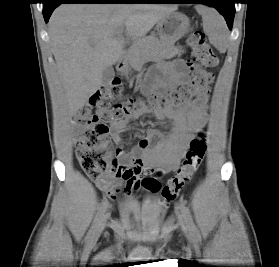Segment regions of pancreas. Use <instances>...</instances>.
<instances>
[{
  "instance_id": "pancreas-1",
  "label": "pancreas",
  "mask_w": 279,
  "mask_h": 267,
  "mask_svg": "<svg viewBox=\"0 0 279 267\" xmlns=\"http://www.w3.org/2000/svg\"><path fill=\"white\" fill-rule=\"evenodd\" d=\"M182 52V48L163 44L151 35L134 43L128 51V58L133 69H140L147 61L169 59Z\"/></svg>"
}]
</instances>
